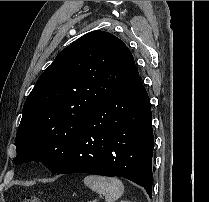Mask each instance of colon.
<instances>
[{
  "label": "colon",
  "instance_id": "colon-1",
  "mask_svg": "<svg viewBox=\"0 0 209 202\" xmlns=\"http://www.w3.org/2000/svg\"><path fill=\"white\" fill-rule=\"evenodd\" d=\"M21 202H49V201L42 200L35 196H29V197L24 198Z\"/></svg>",
  "mask_w": 209,
  "mask_h": 202
}]
</instances>
